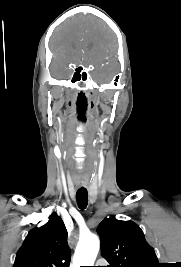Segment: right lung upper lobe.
Listing matches in <instances>:
<instances>
[{
	"label": "right lung upper lobe",
	"mask_w": 181,
	"mask_h": 267,
	"mask_svg": "<svg viewBox=\"0 0 181 267\" xmlns=\"http://www.w3.org/2000/svg\"><path fill=\"white\" fill-rule=\"evenodd\" d=\"M70 256L66 227L53 213L44 226L28 233L13 267H69Z\"/></svg>",
	"instance_id": "obj_1"
}]
</instances>
